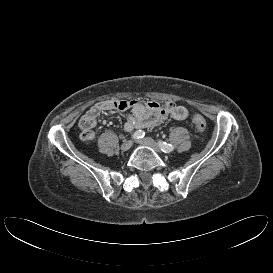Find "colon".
<instances>
[{
    "label": "colon",
    "instance_id": "colon-1",
    "mask_svg": "<svg viewBox=\"0 0 273 273\" xmlns=\"http://www.w3.org/2000/svg\"><path fill=\"white\" fill-rule=\"evenodd\" d=\"M192 122L199 131H204L207 127L206 119L201 114H194L192 116Z\"/></svg>",
    "mask_w": 273,
    "mask_h": 273
}]
</instances>
